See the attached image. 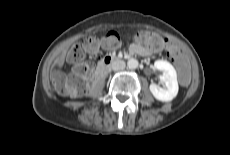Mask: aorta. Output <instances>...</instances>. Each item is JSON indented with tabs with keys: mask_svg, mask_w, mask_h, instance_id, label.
I'll return each instance as SVG.
<instances>
[{
	"mask_svg": "<svg viewBox=\"0 0 230 155\" xmlns=\"http://www.w3.org/2000/svg\"><path fill=\"white\" fill-rule=\"evenodd\" d=\"M139 63H138V60L132 58V59H129L128 62H127V66L129 69H136L138 67Z\"/></svg>",
	"mask_w": 230,
	"mask_h": 155,
	"instance_id": "762f6f07",
	"label": "aorta"
}]
</instances>
